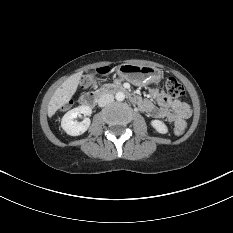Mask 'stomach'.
Here are the masks:
<instances>
[{"instance_id": "1", "label": "stomach", "mask_w": 233, "mask_h": 233, "mask_svg": "<svg viewBox=\"0 0 233 233\" xmlns=\"http://www.w3.org/2000/svg\"><path fill=\"white\" fill-rule=\"evenodd\" d=\"M117 72L135 85H142L149 81L159 82L162 78V73L158 68L130 63L121 64Z\"/></svg>"}]
</instances>
